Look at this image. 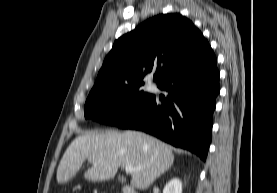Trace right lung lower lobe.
<instances>
[{
	"mask_svg": "<svg viewBox=\"0 0 277 193\" xmlns=\"http://www.w3.org/2000/svg\"><path fill=\"white\" fill-rule=\"evenodd\" d=\"M216 62L211 50L199 61L174 72L158 85L169 92L167 99L152 96L117 126L145 131L205 161L220 92Z\"/></svg>",
	"mask_w": 277,
	"mask_h": 193,
	"instance_id": "obj_1",
	"label": "right lung lower lobe"
}]
</instances>
